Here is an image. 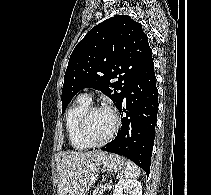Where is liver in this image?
<instances>
[{"instance_id":"1","label":"liver","mask_w":211,"mask_h":195,"mask_svg":"<svg viewBox=\"0 0 211 195\" xmlns=\"http://www.w3.org/2000/svg\"><path fill=\"white\" fill-rule=\"evenodd\" d=\"M105 152H73L58 165V195H83L94 184L88 182L91 172Z\"/></svg>"}]
</instances>
